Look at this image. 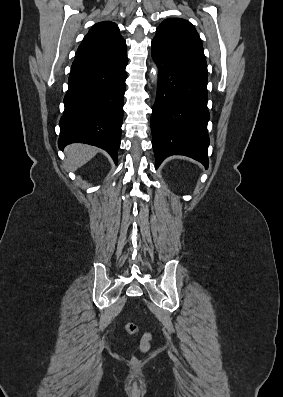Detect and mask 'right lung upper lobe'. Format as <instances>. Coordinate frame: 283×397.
Returning a JSON list of instances; mask_svg holds the SVG:
<instances>
[{"label":"right lung upper lobe","instance_id":"obj_1","mask_svg":"<svg viewBox=\"0 0 283 397\" xmlns=\"http://www.w3.org/2000/svg\"><path fill=\"white\" fill-rule=\"evenodd\" d=\"M127 59L125 40L110 21L95 24L78 47L71 73L118 63Z\"/></svg>","mask_w":283,"mask_h":397}]
</instances>
